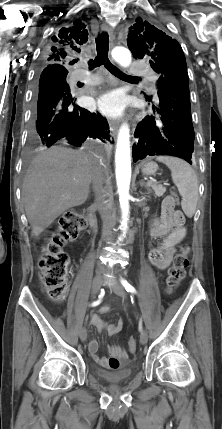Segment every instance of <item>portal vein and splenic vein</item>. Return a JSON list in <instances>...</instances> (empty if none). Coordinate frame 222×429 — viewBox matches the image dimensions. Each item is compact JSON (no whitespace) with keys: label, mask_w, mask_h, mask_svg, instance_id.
Instances as JSON below:
<instances>
[{"label":"portal vein and splenic vein","mask_w":222,"mask_h":429,"mask_svg":"<svg viewBox=\"0 0 222 429\" xmlns=\"http://www.w3.org/2000/svg\"><path fill=\"white\" fill-rule=\"evenodd\" d=\"M152 182H154V180H150V181H148V184H150V183H152Z\"/></svg>","instance_id":"1"}]
</instances>
